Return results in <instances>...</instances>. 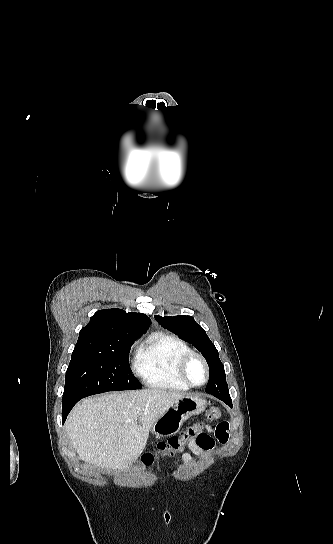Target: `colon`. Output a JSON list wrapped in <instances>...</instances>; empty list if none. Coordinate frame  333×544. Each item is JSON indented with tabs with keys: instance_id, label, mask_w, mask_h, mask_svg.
<instances>
[{
	"instance_id": "1",
	"label": "colon",
	"mask_w": 333,
	"mask_h": 544,
	"mask_svg": "<svg viewBox=\"0 0 333 544\" xmlns=\"http://www.w3.org/2000/svg\"><path fill=\"white\" fill-rule=\"evenodd\" d=\"M222 410L218 407H210L206 411L208 420L213 421L221 417ZM203 434V426L196 423L187 427L180 436H173L165 441L157 443L153 451H145L142 454V461L146 465H152L158 457H170L184 449L187 443L198 439Z\"/></svg>"
}]
</instances>
